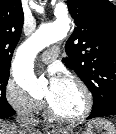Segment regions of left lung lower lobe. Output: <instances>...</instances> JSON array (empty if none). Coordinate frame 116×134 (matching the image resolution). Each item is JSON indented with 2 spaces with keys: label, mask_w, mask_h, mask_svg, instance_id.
<instances>
[{
  "label": "left lung lower lobe",
  "mask_w": 116,
  "mask_h": 134,
  "mask_svg": "<svg viewBox=\"0 0 116 134\" xmlns=\"http://www.w3.org/2000/svg\"><path fill=\"white\" fill-rule=\"evenodd\" d=\"M114 115H116V104H114V106L108 105L101 108L93 107L92 112L88 118L91 119L101 116H114Z\"/></svg>",
  "instance_id": "obj_1"
}]
</instances>
